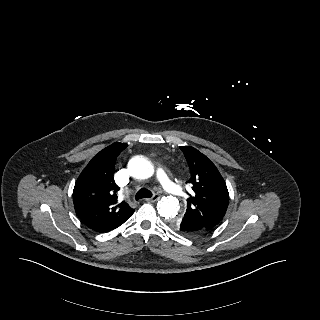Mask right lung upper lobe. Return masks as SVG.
Listing matches in <instances>:
<instances>
[{"mask_svg":"<svg viewBox=\"0 0 320 320\" xmlns=\"http://www.w3.org/2000/svg\"><path fill=\"white\" fill-rule=\"evenodd\" d=\"M127 147L113 143L101 150L78 177L74 190L75 211L81 221L96 232H106L122 225L134 213L125 201L119 203V187L114 181L115 161Z\"/></svg>","mask_w":320,"mask_h":320,"instance_id":"1","label":"right lung upper lobe"}]
</instances>
